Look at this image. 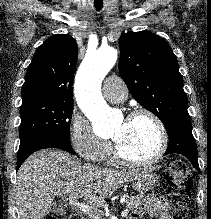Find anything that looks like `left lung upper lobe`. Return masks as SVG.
<instances>
[{
  "mask_svg": "<svg viewBox=\"0 0 211 219\" xmlns=\"http://www.w3.org/2000/svg\"><path fill=\"white\" fill-rule=\"evenodd\" d=\"M119 72L133 98L155 114L167 131L191 121L176 56L149 31L128 32L119 40Z\"/></svg>",
  "mask_w": 211,
  "mask_h": 219,
  "instance_id": "left-lung-upper-lobe-1",
  "label": "left lung upper lobe"
}]
</instances>
